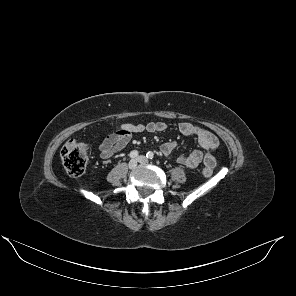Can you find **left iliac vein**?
I'll use <instances>...</instances> for the list:
<instances>
[{
	"label": "left iliac vein",
	"instance_id": "4c4485c4",
	"mask_svg": "<svg viewBox=\"0 0 296 296\" xmlns=\"http://www.w3.org/2000/svg\"><path fill=\"white\" fill-rule=\"evenodd\" d=\"M138 162L141 163V164H146L148 163V160L146 159L145 156L143 155H140L138 158H137Z\"/></svg>",
	"mask_w": 296,
	"mask_h": 296
}]
</instances>
